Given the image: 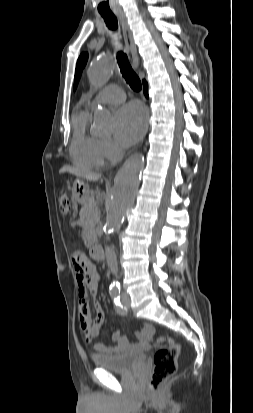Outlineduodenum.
Returning a JSON list of instances; mask_svg holds the SVG:
<instances>
[{
    "instance_id": "1",
    "label": "duodenum",
    "mask_w": 253,
    "mask_h": 413,
    "mask_svg": "<svg viewBox=\"0 0 253 413\" xmlns=\"http://www.w3.org/2000/svg\"><path fill=\"white\" fill-rule=\"evenodd\" d=\"M90 254L96 260H103L104 259V251L101 246L93 245L90 247Z\"/></svg>"
}]
</instances>
